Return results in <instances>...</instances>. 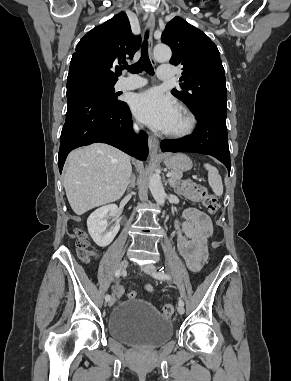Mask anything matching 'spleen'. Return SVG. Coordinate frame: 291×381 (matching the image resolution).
Segmentation results:
<instances>
[{
    "mask_svg": "<svg viewBox=\"0 0 291 381\" xmlns=\"http://www.w3.org/2000/svg\"><path fill=\"white\" fill-rule=\"evenodd\" d=\"M204 167L208 171V182L214 194L216 196H221L223 194V184L217 168L209 163L204 164Z\"/></svg>",
    "mask_w": 291,
    "mask_h": 381,
    "instance_id": "obj_1",
    "label": "spleen"
}]
</instances>
